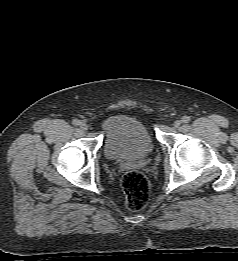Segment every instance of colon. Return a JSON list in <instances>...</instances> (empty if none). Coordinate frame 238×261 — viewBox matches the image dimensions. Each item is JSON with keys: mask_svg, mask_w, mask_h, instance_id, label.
<instances>
[{"mask_svg": "<svg viewBox=\"0 0 238 261\" xmlns=\"http://www.w3.org/2000/svg\"><path fill=\"white\" fill-rule=\"evenodd\" d=\"M126 206L130 210H140L148 202L150 188L145 175L137 170L126 172L122 178Z\"/></svg>", "mask_w": 238, "mask_h": 261, "instance_id": "colon-1", "label": "colon"}]
</instances>
